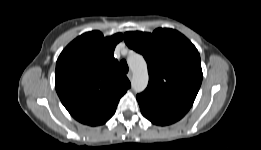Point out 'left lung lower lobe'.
Instances as JSON below:
<instances>
[{"label": "left lung lower lobe", "instance_id": "left-lung-lower-lobe-1", "mask_svg": "<svg viewBox=\"0 0 261 150\" xmlns=\"http://www.w3.org/2000/svg\"><path fill=\"white\" fill-rule=\"evenodd\" d=\"M142 114L156 125H168L181 119L186 112L144 99L137 95Z\"/></svg>", "mask_w": 261, "mask_h": 150}]
</instances>
